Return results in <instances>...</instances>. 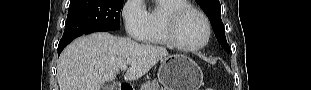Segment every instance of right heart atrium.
Segmentation results:
<instances>
[{
  "mask_svg": "<svg viewBox=\"0 0 311 90\" xmlns=\"http://www.w3.org/2000/svg\"><path fill=\"white\" fill-rule=\"evenodd\" d=\"M128 38L143 40L147 28V10L142 0H128L122 9Z\"/></svg>",
  "mask_w": 311,
  "mask_h": 90,
  "instance_id": "obj_1",
  "label": "right heart atrium"
}]
</instances>
